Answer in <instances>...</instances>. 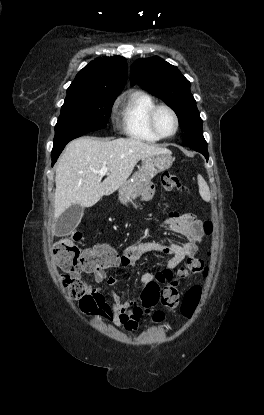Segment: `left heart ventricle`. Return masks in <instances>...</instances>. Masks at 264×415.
Wrapping results in <instances>:
<instances>
[{
    "label": "left heart ventricle",
    "instance_id": "b2bd125f",
    "mask_svg": "<svg viewBox=\"0 0 264 415\" xmlns=\"http://www.w3.org/2000/svg\"><path fill=\"white\" fill-rule=\"evenodd\" d=\"M156 125L162 135H169L175 129L174 118L172 114L166 109H161L157 112Z\"/></svg>",
    "mask_w": 264,
    "mask_h": 415
}]
</instances>
